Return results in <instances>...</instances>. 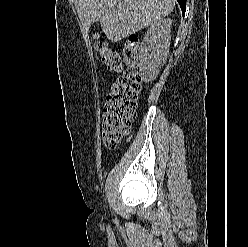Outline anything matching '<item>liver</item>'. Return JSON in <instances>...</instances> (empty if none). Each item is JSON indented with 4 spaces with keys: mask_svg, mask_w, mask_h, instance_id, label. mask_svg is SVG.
<instances>
[{
    "mask_svg": "<svg viewBox=\"0 0 248 247\" xmlns=\"http://www.w3.org/2000/svg\"><path fill=\"white\" fill-rule=\"evenodd\" d=\"M75 4L86 33L100 22L107 39L118 42L168 16L175 0H75Z\"/></svg>",
    "mask_w": 248,
    "mask_h": 247,
    "instance_id": "liver-1",
    "label": "liver"
}]
</instances>
